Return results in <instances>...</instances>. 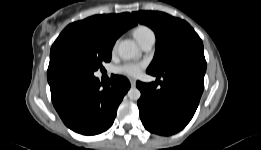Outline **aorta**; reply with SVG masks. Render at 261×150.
I'll list each match as a JSON object with an SVG mask.
<instances>
[{
  "label": "aorta",
  "mask_w": 261,
  "mask_h": 150,
  "mask_svg": "<svg viewBox=\"0 0 261 150\" xmlns=\"http://www.w3.org/2000/svg\"><path fill=\"white\" fill-rule=\"evenodd\" d=\"M118 54L122 59L129 60L139 54V49L135 42L131 40H124L120 42L118 46ZM127 95L131 100L137 101L141 96V92L138 88L131 87Z\"/></svg>",
  "instance_id": "1"
}]
</instances>
